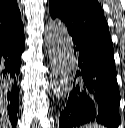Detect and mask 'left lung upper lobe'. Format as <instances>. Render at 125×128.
<instances>
[{"label":"left lung upper lobe","instance_id":"5c2ea615","mask_svg":"<svg viewBox=\"0 0 125 128\" xmlns=\"http://www.w3.org/2000/svg\"><path fill=\"white\" fill-rule=\"evenodd\" d=\"M51 17L61 19L73 39L113 49L109 28L97 0H49Z\"/></svg>","mask_w":125,"mask_h":128}]
</instances>
